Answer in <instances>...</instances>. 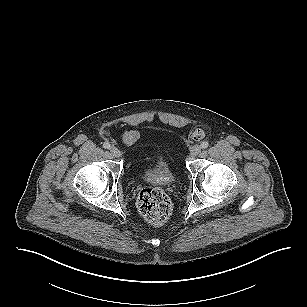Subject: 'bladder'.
I'll list each match as a JSON object with an SVG mask.
<instances>
[{
    "label": "bladder",
    "mask_w": 307,
    "mask_h": 307,
    "mask_svg": "<svg viewBox=\"0 0 307 307\" xmlns=\"http://www.w3.org/2000/svg\"><path fill=\"white\" fill-rule=\"evenodd\" d=\"M170 175V170L166 162L162 159L158 160L154 166L144 172L145 178L149 180L167 179L170 177Z\"/></svg>",
    "instance_id": "31cf9c89"
}]
</instances>
